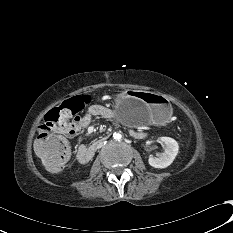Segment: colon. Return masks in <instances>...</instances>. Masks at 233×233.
<instances>
[{
	"label": "colon",
	"mask_w": 233,
	"mask_h": 233,
	"mask_svg": "<svg viewBox=\"0 0 233 233\" xmlns=\"http://www.w3.org/2000/svg\"><path fill=\"white\" fill-rule=\"evenodd\" d=\"M89 103L86 95L74 96L64 101L58 107L50 110L39 127L35 151L44 166L50 171L61 170L71 159L70 142L52 131L53 126L64 120L75 118Z\"/></svg>",
	"instance_id": "5ec220e1"
}]
</instances>
